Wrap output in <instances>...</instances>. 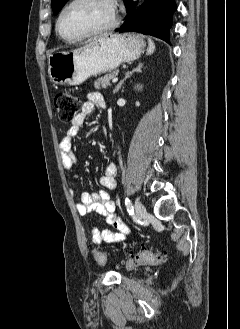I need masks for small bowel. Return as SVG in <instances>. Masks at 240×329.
Returning <instances> with one entry per match:
<instances>
[{
  "instance_id": "obj_1",
  "label": "small bowel",
  "mask_w": 240,
  "mask_h": 329,
  "mask_svg": "<svg viewBox=\"0 0 240 329\" xmlns=\"http://www.w3.org/2000/svg\"><path fill=\"white\" fill-rule=\"evenodd\" d=\"M97 107L105 108L106 102L101 93L91 92L59 144L61 161L67 171H71L78 162V157L72 148V140L79 134L86 119ZM116 177L117 166L114 163H107L99 178V183L104 189L95 193H82L80 202L76 204V209L81 216L85 217L95 212L104 216L106 223L116 229V231H110L106 228L90 226L87 234L97 245L125 241L130 233L129 226L116 214V205L106 191L116 188Z\"/></svg>"
}]
</instances>
